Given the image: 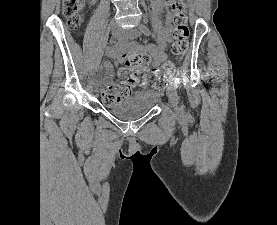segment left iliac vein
<instances>
[{"instance_id":"left-iliac-vein-1","label":"left iliac vein","mask_w":277,"mask_h":225,"mask_svg":"<svg viewBox=\"0 0 277 225\" xmlns=\"http://www.w3.org/2000/svg\"><path fill=\"white\" fill-rule=\"evenodd\" d=\"M140 35V31L138 29H130L124 32V37L128 39H135ZM167 94L169 97V100L172 104V107L176 113L179 111L178 107V93H177V86L174 82H171L167 89Z\"/></svg>"}]
</instances>
